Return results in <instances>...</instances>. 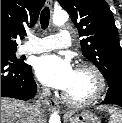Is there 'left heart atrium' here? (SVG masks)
<instances>
[{
	"label": "left heart atrium",
	"mask_w": 122,
	"mask_h": 123,
	"mask_svg": "<svg viewBox=\"0 0 122 123\" xmlns=\"http://www.w3.org/2000/svg\"><path fill=\"white\" fill-rule=\"evenodd\" d=\"M35 71L45 85L66 91L73 82L75 69L70 59L56 54H46L36 60Z\"/></svg>",
	"instance_id": "left-heart-atrium-1"
}]
</instances>
